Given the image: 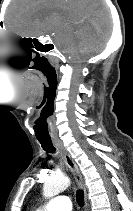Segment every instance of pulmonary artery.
Segmentation results:
<instances>
[{"label":"pulmonary artery","instance_id":"e3ab8cb5","mask_svg":"<svg viewBox=\"0 0 133 211\" xmlns=\"http://www.w3.org/2000/svg\"><path fill=\"white\" fill-rule=\"evenodd\" d=\"M72 204L67 196H57L37 211H71Z\"/></svg>","mask_w":133,"mask_h":211}]
</instances>
